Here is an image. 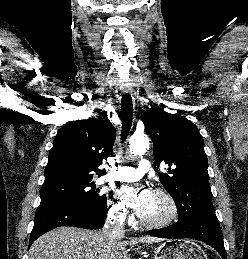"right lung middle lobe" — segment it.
<instances>
[{
    "label": "right lung middle lobe",
    "instance_id": "dd1d6c3e",
    "mask_svg": "<svg viewBox=\"0 0 248 259\" xmlns=\"http://www.w3.org/2000/svg\"><path fill=\"white\" fill-rule=\"evenodd\" d=\"M92 180H65L44 183L41 188V201L62 200L81 205H87L96 209L107 207L105 195L98 194Z\"/></svg>",
    "mask_w": 248,
    "mask_h": 259
}]
</instances>
